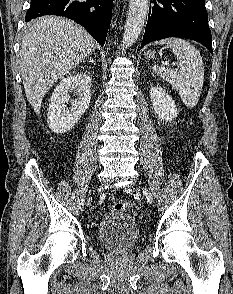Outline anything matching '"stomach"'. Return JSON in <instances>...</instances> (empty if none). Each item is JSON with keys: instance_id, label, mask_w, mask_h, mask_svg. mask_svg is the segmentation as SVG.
Masks as SVG:
<instances>
[{"instance_id": "obj_1", "label": "stomach", "mask_w": 233, "mask_h": 294, "mask_svg": "<svg viewBox=\"0 0 233 294\" xmlns=\"http://www.w3.org/2000/svg\"><path fill=\"white\" fill-rule=\"evenodd\" d=\"M146 56L149 57V58H152L154 56V52L147 51Z\"/></svg>"}]
</instances>
